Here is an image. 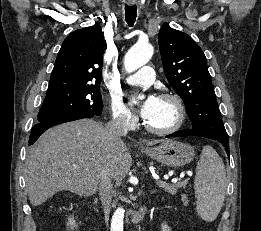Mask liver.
Masks as SVG:
<instances>
[{
    "label": "liver",
    "instance_id": "1",
    "mask_svg": "<svg viewBox=\"0 0 261 231\" xmlns=\"http://www.w3.org/2000/svg\"><path fill=\"white\" fill-rule=\"evenodd\" d=\"M105 127L83 119L44 132L30 148L25 163V182L30 203L38 206L59 191L92 196L98 189L103 167L119 182L132 166L123 140L110 143ZM165 140H151L154 145Z\"/></svg>",
    "mask_w": 261,
    "mask_h": 231
}]
</instances>
